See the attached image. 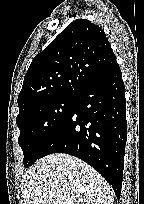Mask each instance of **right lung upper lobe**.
<instances>
[{
	"label": "right lung upper lobe",
	"instance_id": "obj_1",
	"mask_svg": "<svg viewBox=\"0 0 144 204\" xmlns=\"http://www.w3.org/2000/svg\"><path fill=\"white\" fill-rule=\"evenodd\" d=\"M116 64L102 28L75 20L31 62L18 95L19 115L53 97L76 96Z\"/></svg>",
	"mask_w": 144,
	"mask_h": 204
}]
</instances>
